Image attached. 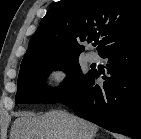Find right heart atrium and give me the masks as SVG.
Segmentation results:
<instances>
[{
  "mask_svg": "<svg viewBox=\"0 0 141 139\" xmlns=\"http://www.w3.org/2000/svg\"><path fill=\"white\" fill-rule=\"evenodd\" d=\"M45 79L51 92L60 93L69 86L71 73L66 66L54 63L46 69Z\"/></svg>",
  "mask_w": 141,
  "mask_h": 139,
  "instance_id": "right-heart-atrium-1",
  "label": "right heart atrium"
}]
</instances>
